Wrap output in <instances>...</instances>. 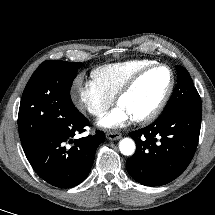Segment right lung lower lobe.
Here are the masks:
<instances>
[{
	"instance_id": "1",
	"label": "right lung lower lobe",
	"mask_w": 215,
	"mask_h": 215,
	"mask_svg": "<svg viewBox=\"0 0 215 215\" xmlns=\"http://www.w3.org/2000/svg\"><path fill=\"white\" fill-rule=\"evenodd\" d=\"M88 125L87 119L78 113L61 126L23 145L29 163L43 180L59 188L74 187L84 181L97 147L105 140L101 131L73 140L74 135L84 132ZM67 143L72 147H67Z\"/></svg>"
}]
</instances>
